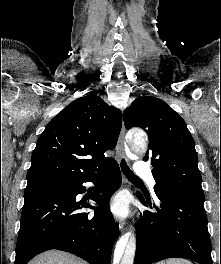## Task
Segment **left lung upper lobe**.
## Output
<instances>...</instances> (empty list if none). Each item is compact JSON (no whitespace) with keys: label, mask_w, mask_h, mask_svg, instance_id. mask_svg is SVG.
Returning a JSON list of instances; mask_svg holds the SVG:
<instances>
[{"label":"left lung upper lobe","mask_w":221,"mask_h":264,"mask_svg":"<svg viewBox=\"0 0 221 264\" xmlns=\"http://www.w3.org/2000/svg\"><path fill=\"white\" fill-rule=\"evenodd\" d=\"M127 129L141 127L149 137L144 161L153 166L155 192L204 199L194 140L184 120L163 100L138 97L124 111Z\"/></svg>","instance_id":"5c2ea615"}]
</instances>
